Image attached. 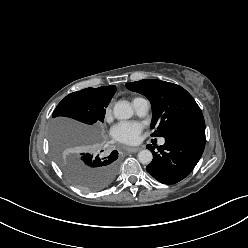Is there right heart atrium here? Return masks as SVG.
<instances>
[{
  "label": "right heart atrium",
  "instance_id": "d8ad5b80",
  "mask_svg": "<svg viewBox=\"0 0 248 248\" xmlns=\"http://www.w3.org/2000/svg\"><path fill=\"white\" fill-rule=\"evenodd\" d=\"M111 116H112V109H111L110 106H108V107L105 109V118H106V119H109Z\"/></svg>",
  "mask_w": 248,
  "mask_h": 248
}]
</instances>
